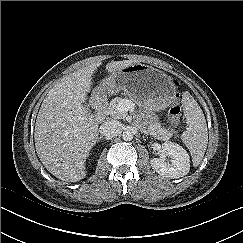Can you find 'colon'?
Segmentation results:
<instances>
[{
    "instance_id": "obj_1",
    "label": "colon",
    "mask_w": 243,
    "mask_h": 243,
    "mask_svg": "<svg viewBox=\"0 0 243 243\" xmlns=\"http://www.w3.org/2000/svg\"><path fill=\"white\" fill-rule=\"evenodd\" d=\"M178 97V96H177ZM181 108L179 105L175 104L169 109V121L172 125V130L176 132L178 130V124L180 121Z\"/></svg>"
}]
</instances>
